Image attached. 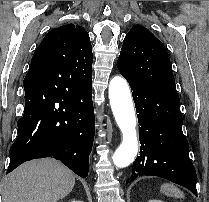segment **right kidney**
I'll return each instance as SVG.
<instances>
[{
	"instance_id": "1",
	"label": "right kidney",
	"mask_w": 209,
	"mask_h": 202,
	"mask_svg": "<svg viewBox=\"0 0 209 202\" xmlns=\"http://www.w3.org/2000/svg\"><path fill=\"white\" fill-rule=\"evenodd\" d=\"M70 202H82V201L73 200V201H70Z\"/></svg>"
}]
</instances>
